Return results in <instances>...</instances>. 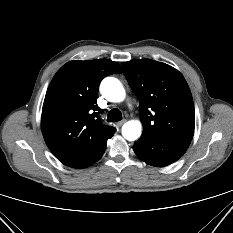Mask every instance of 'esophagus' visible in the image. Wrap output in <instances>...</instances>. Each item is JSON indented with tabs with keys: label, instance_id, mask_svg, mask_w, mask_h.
<instances>
[{
	"label": "esophagus",
	"instance_id": "obj_1",
	"mask_svg": "<svg viewBox=\"0 0 233 233\" xmlns=\"http://www.w3.org/2000/svg\"><path fill=\"white\" fill-rule=\"evenodd\" d=\"M125 122H126V120H122V121H120V122L117 123V126L121 127Z\"/></svg>",
	"mask_w": 233,
	"mask_h": 233
}]
</instances>
